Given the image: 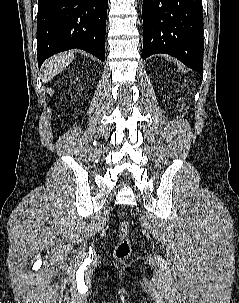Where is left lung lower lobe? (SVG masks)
<instances>
[{"label": "left lung lower lobe", "instance_id": "obj_1", "mask_svg": "<svg viewBox=\"0 0 239 303\" xmlns=\"http://www.w3.org/2000/svg\"><path fill=\"white\" fill-rule=\"evenodd\" d=\"M143 59L174 56L203 75L202 0H143Z\"/></svg>", "mask_w": 239, "mask_h": 303}]
</instances>
